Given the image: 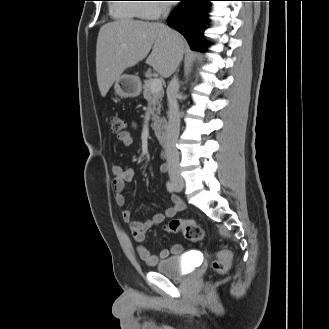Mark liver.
Segmentation results:
<instances>
[{
    "instance_id": "liver-1",
    "label": "liver",
    "mask_w": 329,
    "mask_h": 329,
    "mask_svg": "<svg viewBox=\"0 0 329 329\" xmlns=\"http://www.w3.org/2000/svg\"><path fill=\"white\" fill-rule=\"evenodd\" d=\"M184 49V38L159 23L125 19L103 25L96 45V74L102 97L127 68L145 59L150 51L146 63L161 76L169 77L180 64Z\"/></svg>"
}]
</instances>
